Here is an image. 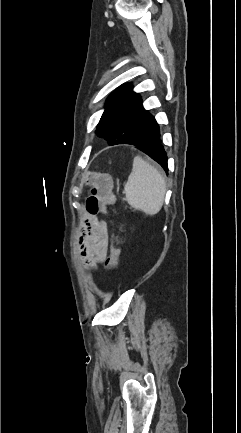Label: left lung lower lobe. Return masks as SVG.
Returning a JSON list of instances; mask_svg holds the SVG:
<instances>
[{"instance_id":"obj_1","label":"left lung lower lobe","mask_w":241,"mask_h":433,"mask_svg":"<svg viewBox=\"0 0 241 433\" xmlns=\"http://www.w3.org/2000/svg\"><path fill=\"white\" fill-rule=\"evenodd\" d=\"M125 144H131L149 155L168 172L167 155L160 140V131L157 122L144 134L135 137Z\"/></svg>"}]
</instances>
